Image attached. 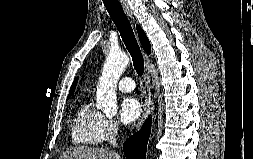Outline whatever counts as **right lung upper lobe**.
<instances>
[{"label":"right lung upper lobe","mask_w":253,"mask_h":159,"mask_svg":"<svg viewBox=\"0 0 253 159\" xmlns=\"http://www.w3.org/2000/svg\"><path fill=\"white\" fill-rule=\"evenodd\" d=\"M136 28H137L139 40H140V43H141L143 49L145 50L146 53L150 54L151 46H150V42H149L146 34L144 33L143 29L139 25H137ZM76 84H77V78L74 80V82L70 88V92H69L67 99H69L70 96L74 93Z\"/></svg>","instance_id":"cb5924a9"}]
</instances>
